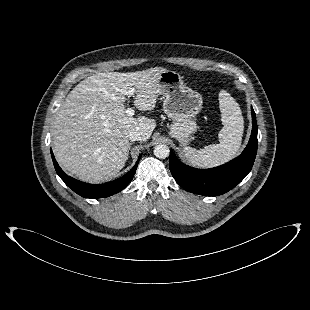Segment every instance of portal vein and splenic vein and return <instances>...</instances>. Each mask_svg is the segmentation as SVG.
Masks as SVG:
<instances>
[{"instance_id":"18ae733b","label":"portal vein and splenic vein","mask_w":310,"mask_h":310,"mask_svg":"<svg viewBox=\"0 0 310 310\" xmlns=\"http://www.w3.org/2000/svg\"><path fill=\"white\" fill-rule=\"evenodd\" d=\"M134 91H135L134 88H130V90L127 92V94L129 96H132L134 94ZM125 113H126L127 116H133L135 111L132 108H128V109L125 110Z\"/></svg>"}]
</instances>
